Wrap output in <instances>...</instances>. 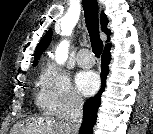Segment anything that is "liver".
<instances>
[{
    "mask_svg": "<svg viewBox=\"0 0 153 134\" xmlns=\"http://www.w3.org/2000/svg\"><path fill=\"white\" fill-rule=\"evenodd\" d=\"M14 134H64L63 124L53 118H37L26 124L17 123L12 131Z\"/></svg>",
    "mask_w": 153,
    "mask_h": 134,
    "instance_id": "liver-1",
    "label": "liver"
}]
</instances>
